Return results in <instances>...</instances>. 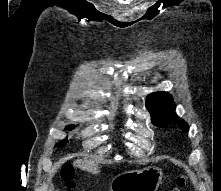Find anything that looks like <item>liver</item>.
<instances>
[{
    "mask_svg": "<svg viewBox=\"0 0 221 191\" xmlns=\"http://www.w3.org/2000/svg\"><path fill=\"white\" fill-rule=\"evenodd\" d=\"M75 164L83 170L88 172L97 173L99 171V167L91 160L83 161V160H76Z\"/></svg>",
    "mask_w": 221,
    "mask_h": 191,
    "instance_id": "liver-1",
    "label": "liver"
}]
</instances>
